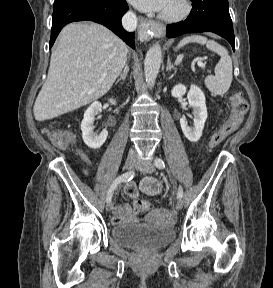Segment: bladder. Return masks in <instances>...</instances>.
<instances>
[{
  "label": "bladder",
  "mask_w": 273,
  "mask_h": 288,
  "mask_svg": "<svg viewBox=\"0 0 273 288\" xmlns=\"http://www.w3.org/2000/svg\"><path fill=\"white\" fill-rule=\"evenodd\" d=\"M110 236L112 241L124 249L151 252L159 250L176 237L173 228L145 223H125L114 225Z\"/></svg>",
  "instance_id": "31cf9c89"
}]
</instances>
